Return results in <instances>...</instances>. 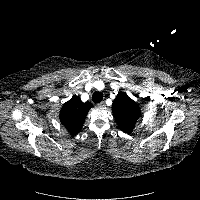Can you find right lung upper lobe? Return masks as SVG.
Instances as JSON below:
<instances>
[{
	"label": "right lung upper lobe",
	"instance_id": "obj_1",
	"mask_svg": "<svg viewBox=\"0 0 200 200\" xmlns=\"http://www.w3.org/2000/svg\"><path fill=\"white\" fill-rule=\"evenodd\" d=\"M92 104L82 102L78 96H73L67 101L60 111V121L62 125L72 135H76L82 128L86 115Z\"/></svg>",
	"mask_w": 200,
	"mask_h": 200
}]
</instances>
